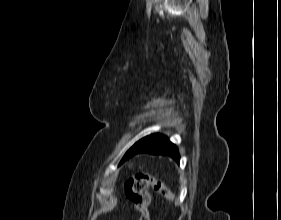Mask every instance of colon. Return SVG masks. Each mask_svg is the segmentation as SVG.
<instances>
[{
  "label": "colon",
  "mask_w": 281,
  "mask_h": 220,
  "mask_svg": "<svg viewBox=\"0 0 281 220\" xmlns=\"http://www.w3.org/2000/svg\"><path fill=\"white\" fill-rule=\"evenodd\" d=\"M150 187L169 200L174 198L173 194L160 181L149 173L138 170L133 177L126 181L124 188L126 196L134 203L139 213V220H150L148 211L150 204Z\"/></svg>",
  "instance_id": "colon-1"
}]
</instances>
